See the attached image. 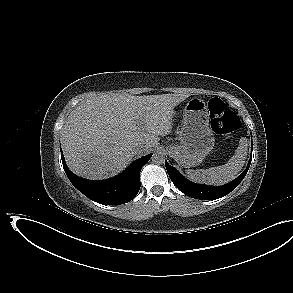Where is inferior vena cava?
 <instances>
[{
    "label": "inferior vena cava",
    "instance_id": "obj_1",
    "mask_svg": "<svg viewBox=\"0 0 293 293\" xmlns=\"http://www.w3.org/2000/svg\"><path fill=\"white\" fill-rule=\"evenodd\" d=\"M141 148H142V146H138V147L136 148V150L139 151Z\"/></svg>",
    "mask_w": 293,
    "mask_h": 293
}]
</instances>
